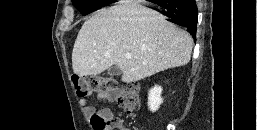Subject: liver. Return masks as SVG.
<instances>
[{"mask_svg":"<svg viewBox=\"0 0 257 130\" xmlns=\"http://www.w3.org/2000/svg\"><path fill=\"white\" fill-rule=\"evenodd\" d=\"M193 39L159 12L134 2L99 10L82 25L72 51L75 74L97 75L116 65L122 81H138L184 66ZM131 58H126V54Z\"/></svg>","mask_w":257,"mask_h":130,"instance_id":"6515ba94","label":"liver"}]
</instances>
